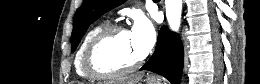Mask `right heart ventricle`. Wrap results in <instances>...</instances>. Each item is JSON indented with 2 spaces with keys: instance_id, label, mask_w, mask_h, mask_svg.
Here are the masks:
<instances>
[{
  "instance_id": "right-heart-ventricle-1",
  "label": "right heart ventricle",
  "mask_w": 260,
  "mask_h": 84,
  "mask_svg": "<svg viewBox=\"0 0 260 84\" xmlns=\"http://www.w3.org/2000/svg\"><path fill=\"white\" fill-rule=\"evenodd\" d=\"M106 26H107V22L103 21V22L95 25L94 27H92L84 36V38L77 50V53L75 56V61H74L75 70H76L77 74L83 79H93L92 77L87 75L84 70V58H85L86 49H87L89 43L91 42V40L93 39V37L101 29H103Z\"/></svg>"
}]
</instances>
